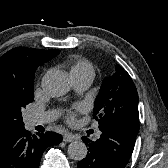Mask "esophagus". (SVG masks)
Segmentation results:
<instances>
[{"instance_id":"obj_1","label":"esophagus","mask_w":168,"mask_h":168,"mask_svg":"<svg viewBox=\"0 0 168 168\" xmlns=\"http://www.w3.org/2000/svg\"><path fill=\"white\" fill-rule=\"evenodd\" d=\"M76 139H77L76 136L72 133H66L63 135V141L65 142H72Z\"/></svg>"}]
</instances>
